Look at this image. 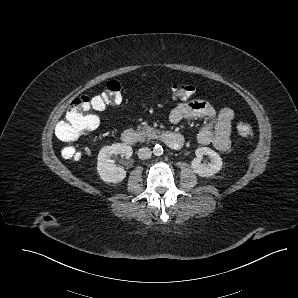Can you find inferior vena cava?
Instances as JSON below:
<instances>
[{"label": "inferior vena cava", "mask_w": 298, "mask_h": 298, "mask_svg": "<svg viewBox=\"0 0 298 298\" xmlns=\"http://www.w3.org/2000/svg\"><path fill=\"white\" fill-rule=\"evenodd\" d=\"M152 155L151 149L148 147H143L138 150V157L140 159H148Z\"/></svg>", "instance_id": "obj_1"}]
</instances>
